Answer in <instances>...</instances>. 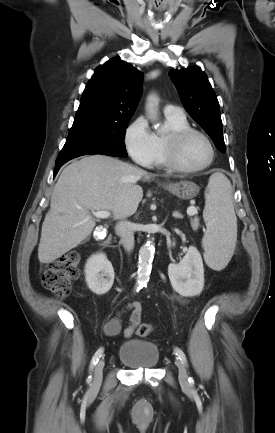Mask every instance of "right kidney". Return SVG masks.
Segmentation results:
<instances>
[{
    "label": "right kidney",
    "instance_id": "obj_1",
    "mask_svg": "<svg viewBox=\"0 0 275 433\" xmlns=\"http://www.w3.org/2000/svg\"><path fill=\"white\" fill-rule=\"evenodd\" d=\"M85 277L89 289L97 295H103L111 289L114 269L105 254L97 253L87 260Z\"/></svg>",
    "mask_w": 275,
    "mask_h": 433
}]
</instances>
